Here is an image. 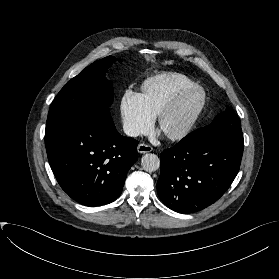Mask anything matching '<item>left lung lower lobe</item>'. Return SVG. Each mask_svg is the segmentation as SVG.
<instances>
[{
  "instance_id": "1",
  "label": "left lung lower lobe",
  "mask_w": 279,
  "mask_h": 279,
  "mask_svg": "<svg viewBox=\"0 0 279 279\" xmlns=\"http://www.w3.org/2000/svg\"><path fill=\"white\" fill-rule=\"evenodd\" d=\"M243 144L223 137L186 136L160 156L157 191L179 213H193L216 202L236 177Z\"/></svg>"
}]
</instances>
